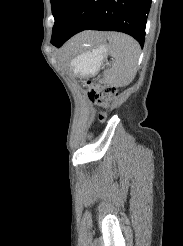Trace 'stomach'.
<instances>
[{
    "mask_svg": "<svg viewBox=\"0 0 183 246\" xmlns=\"http://www.w3.org/2000/svg\"><path fill=\"white\" fill-rule=\"evenodd\" d=\"M82 49L83 51L71 60L73 72L79 75L96 73L107 55V45L101 39Z\"/></svg>",
    "mask_w": 183,
    "mask_h": 246,
    "instance_id": "1",
    "label": "stomach"
}]
</instances>
